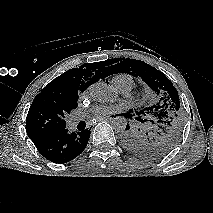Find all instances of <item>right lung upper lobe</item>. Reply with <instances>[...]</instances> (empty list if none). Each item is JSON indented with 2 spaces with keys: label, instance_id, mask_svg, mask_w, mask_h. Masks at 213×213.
Segmentation results:
<instances>
[{
  "label": "right lung upper lobe",
  "instance_id": "cb5924a9",
  "mask_svg": "<svg viewBox=\"0 0 213 213\" xmlns=\"http://www.w3.org/2000/svg\"><path fill=\"white\" fill-rule=\"evenodd\" d=\"M98 64V62L86 63L79 68L66 71L50 82L41 93L35 97L32 105L41 98H52L55 96L78 100V93L85 91L88 86L95 83L100 78L107 76L98 69ZM28 136L30 139L33 137L31 134Z\"/></svg>",
  "mask_w": 213,
  "mask_h": 213
}]
</instances>
